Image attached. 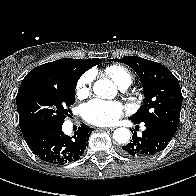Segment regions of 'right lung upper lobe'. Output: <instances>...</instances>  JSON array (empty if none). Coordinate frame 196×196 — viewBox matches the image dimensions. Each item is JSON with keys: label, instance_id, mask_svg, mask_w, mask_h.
<instances>
[{"label": "right lung upper lobe", "instance_id": "cb5924a9", "mask_svg": "<svg viewBox=\"0 0 196 196\" xmlns=\"http://www.w3.org/2000/svg\"><path fill=\"white\" fill-rule=\"evenodd\" d=\"M99 59H72V58H63L56 60L54 62L45 63L34 68L30 71L25 78L23 79L21 86L24 84L44 77L48 75H71L80 78V76L90 69L91 67L100 63ZM20 86V87H21ZM30 133H23V136L26 137Z\"/></svg>", "mask_w": 196, "mask_h": 196}]
</instances>
